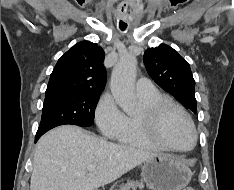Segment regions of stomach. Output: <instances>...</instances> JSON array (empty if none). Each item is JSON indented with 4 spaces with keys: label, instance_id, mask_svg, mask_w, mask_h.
Here are the masks:
<instances>
[{
    "label": "stomach",
    "instance_id": "1",
    "mask_svg": "<svg viewBox=\"0 0 234 190\" xmlns=\"http://www.w3.org/2000/svg\"><path fill=\"white\" fill-rule=\"evenodd\" d=\"M142 177L151 190H183L189 184L192 172L183 160L159 154L145 161Z\"/></svg>",
    "mask_w": 234,
    "mask_h": 190
}]
</instances>
